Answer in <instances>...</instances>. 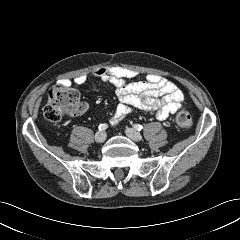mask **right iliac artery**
Instances as JSON below:
<instances>
[{
  "label": "right iliac artery",
  "mask_w": 240,
  "mask_h": 240,
  "mask_svg": "<svg viewBox=\"0 0 240 240\" xmlns=\"http://www.w3.org/2000/svg\"><path fill=\"white\" fill-rule=\"evenodd\" d=\"M107 127H108V125L104 123V124H100L98 128H99V131H102V130L107 129Z\"/></svg>",
  "instance_id": "1"
}]
</instances>
